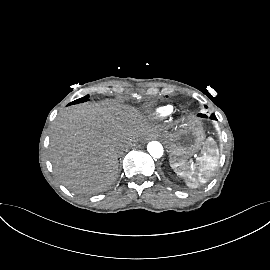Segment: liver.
Wrapping results in <instances>:
<instances>
[{"instance_id": "obj_1", "label": "liver", "mask_w": 270, "mask_h": 270, "mask_svg": "<svg viewBox=\"0 0 270 270\" xmlns=\"http://www.w3.org/2000/svg\"><path fill=\"white\" fill-rule=\"evenodd\" d=\"M151 129L132 107L103 101L62 110L50 136V158L71 189L99 191L115 181L119 150Z\"/></svg>"}]
</instances>
